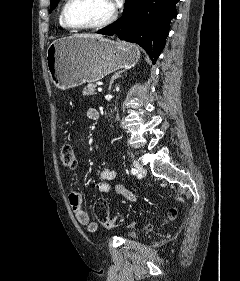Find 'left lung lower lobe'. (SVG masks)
<instances>
[{"mask_svg":"<svg viewBox=\"0 0 240 281\" xmlns=\"http://www.w3.org/2000/svg\"><path fill=\"white\" fill-rule=\"evenodd\" d=\"M179 0H125L122 17L97 31L139 44L155 62L165 46L170 21L177 16Z\"/></svg>","mask_w":240,"mask_h":281,"instance_id":"0a47b994","label":"left lung lower lobe"}]
</instances>
